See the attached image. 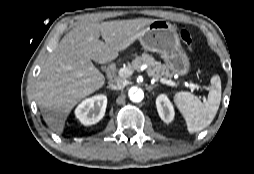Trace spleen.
I'll return each instance as SVG.
<instances>
[{"label":"spleen","instance_id":"1","mask_svg":"<svg viewBox=\"0 0 254 174\" xmlns=\"http://www.w3.org/2000/svg\"><path fill=\"white\" fill-rule=\"evenodd\" d=\"M221 101V81L218 75L211 79V90L205 103L190 92H179L174 102L183 115L189 133L199 132L208 127L219 109Z\"/></svg>","mask_w":254,"mask_h":174}]
</instances>
